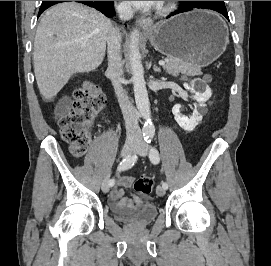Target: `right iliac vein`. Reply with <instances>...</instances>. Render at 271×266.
<instances>
[{
  "label": "right iliac vein",
  "mask_w": 271,
  "mask_h": 266,
  "mask_svg": "<svg viewBox=\"0 0 271 266\" xmlns=\"http://www.w3.org/2000/svg\"><path fill=\"white\" fill-rule=\"evenodd\" d=\"M138 145L134 142H126L121 150V157L129 155L131 152L137 149ZM102 191L107 193L110 189L109 180L105 179L102 183Z\"/></svg>",
  "instance_id": "63e3f726"
}]
</instances>
